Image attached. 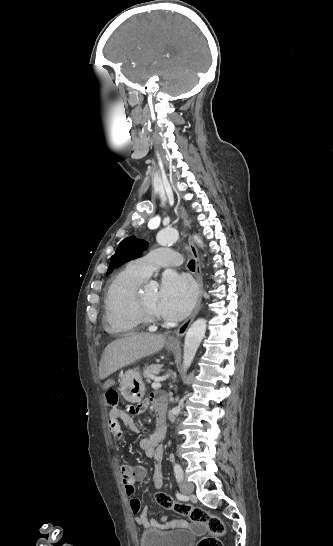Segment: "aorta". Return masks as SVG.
<instances>
[{
    "label": "aorta",
    "mask_w": 333,
    "mask_h": 546,
    "mask_svg": "<svg viewBox=\"0 0 333 546\" xmlns=\"http://www.w3.org/2000/svg\"><path fill=\"white\" fill-rule=\"evenodd\" d=\"M179 239V232L175 229H164L157 235V242L162 245H168L169 243H174ZM194 240L203 247V242L198 236H194ZM206 331V321L205 319L196 320L188 329L185 341H184V351H183V371H187L191 366L195 354L198 350V347L205 336Z\"/></svg>",
    "instance_id": "1"
}]
</instances>
